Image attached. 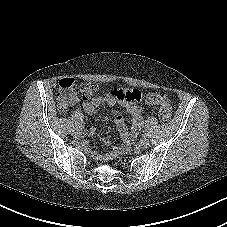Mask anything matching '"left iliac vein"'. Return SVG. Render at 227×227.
Wrapping results in <instances>:
<instances>
[{"instance_id": "left-iliac-vein-1", "label": "left iliac vein", "mask_w": 227, "mask_h": 227, "mask_svg": "<svg viewBox=\"0 0 227 227\" xmlns=\"http://www.w3.org/2000/svg\"><path fill=\"white\" fill-rule=\"evenodd\" d=\"M140 148H148L150 146V141L148 138H142L138 143Z\"/></svg>"}]
</instances>
